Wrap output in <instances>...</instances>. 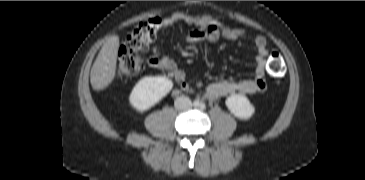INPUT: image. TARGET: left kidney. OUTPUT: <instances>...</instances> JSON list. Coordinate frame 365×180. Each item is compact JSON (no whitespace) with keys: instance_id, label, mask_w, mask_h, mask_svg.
Masks as SVG:
<instances>
[{"instance_id":"left-kidney-1","label":"left kidney","mask_w":365,"mask_h":180,"mask_svg":"<svg viewBox=\"0 0 365 180\" xmlns=\"http://www.w3.org/2000/svg\"><path fill=\"white\" fill-rule=\"evenodd\" d=\"M225 103L230 112L239 119H249L255 113V107L243 95H231Z\"/></svg>"}]
</instances>
